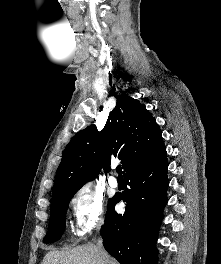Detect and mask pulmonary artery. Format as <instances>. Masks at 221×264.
I'll return each instance as SVG.
<instances>
[{"label": "pulmonary artery", "instance_id": "obj_1", "mask_svg": "<svg viewBox=\"0 0 221 264\" xmlns=\"http://www.w3.org/2000/svg\"><path fill=\"white\" fill-rule=\"evenodd\" d=\"M109 185L113 188H116L118 186V180L115 176H110L108 179Z\"/></svg>", "mask_w": 221, "mask_h": 264}]
</instances>
